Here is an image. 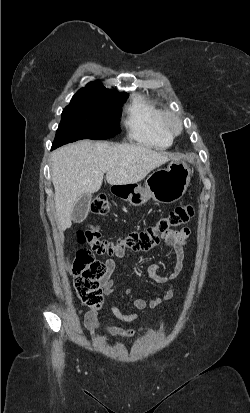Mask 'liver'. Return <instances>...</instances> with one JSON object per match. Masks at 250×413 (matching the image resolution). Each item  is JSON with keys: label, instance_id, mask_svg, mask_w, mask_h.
I'll return each instance as SVG.
<instances>
[{"label": "liver", "instance_id": "1", "mask_svg": "<svg viewBox=\"0 0 250 413\" xmlns=\"http://www.w3.org/2000/svg\"><path fill=\"white\" fill-rule=\"evenodd\" d=\"M175 154L158 152L148 146L111 144L82 140L63 146L52 153V183L55 208L61 231L70 228L77 200L97 192L104 173L110 185L137 183Z\"/></svg>", "mask_w": 250, "mask_h": 413}]
</instances>
